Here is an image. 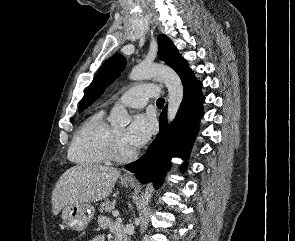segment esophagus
Wrapping results in <instances>:
<instances>
[{"mask_svg":"<svg viewBox=\"0 0 295 241\" xmlns=\"http://www.w3.org/2000/svg\"><path fill=\"white\" fill-rule=\"evenodd\" d=\"M123 178L124 179H133L134 177H133L132 173L127 172L123 175Z\"/></svg>","mask_w":295,"mask_h":241,"instance_id":"obj_1","label":"esophagus"}]
</instances>
